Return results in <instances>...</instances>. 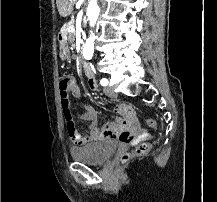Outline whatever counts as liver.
<instances>
[{
  "instance_id": "liver-1",
  "label": "liver",
  "mask_w": 217,
  "mask_h": 202,
  "mask_svg": "<svg viewBox=\"0 0 217 202\" xmlns=\"http://www.w3.org/2000/svg\"><path fill=\"white\" fill-rule=\"evenodd\" d=\"M77 0H56L58 12L62 18H67L72 14L73 6Z\"/></svg>"
}]
</instances>
